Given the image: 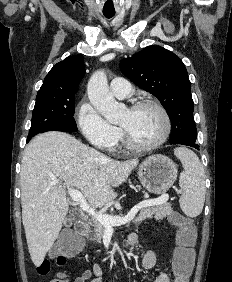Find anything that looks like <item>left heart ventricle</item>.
Returning a JSON list of instances; mask_svg holds the SVG:
<instances>
[{"instance_id": "b2bd125f", "label": "left heart ventricle", "mask_w": 232, "mask_h": 282, "mask_svg": "<svg viewBox=\"0 0 232 282\" xmlns=\"http://www.w3.org/2000/svg\"><path fill=\"white\" fill-rule=\"evenodd\" d=\"M120 126L128 131L135 142L150 144L163 134L164 120L159 111L153 107H142L133 111L127 109Z\"/></svg>"}]
</instances>
